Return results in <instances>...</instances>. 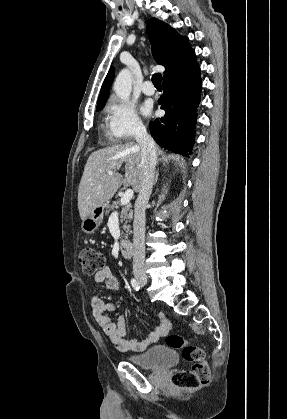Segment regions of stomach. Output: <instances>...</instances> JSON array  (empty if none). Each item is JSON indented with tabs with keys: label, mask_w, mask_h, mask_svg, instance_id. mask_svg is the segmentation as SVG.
<instances>
[{
	"label": "stomach",
	"mask_w": 287,
	"mask_h": 419,
	"mask_svg": "<svg viewBox=\"0 0 287 419\" xmlns=\"http://www.w3.org/2000/svg\"><path fill=\"white\" fill-rule=\"evenodd\" d=\"M106 206L95 208L93 212L82 221L81 228L85 233L92 234L98 229L103 221Z\"/></svg>",
	"instance_id": "0dacf381"
}]
</instances>
